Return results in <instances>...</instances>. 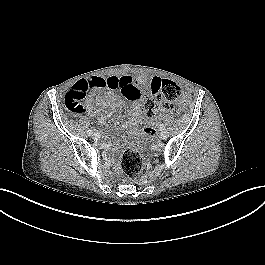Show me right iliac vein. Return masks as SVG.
Returning a JSON list of instances; mask_svg holds the SVG:
<instances>
[{
  "label": "right iliac vein",
  "instance_id": "63e3f726",
  "mask_svg": "<svg viewBox=\"0 0 265 265\" xmlns=\"http://www.w3.org/2000/svg\"><path fill=\"white\" fill-rule=\"evenodd\" d=\"M99 138H100V134L99 133H95L93 135V139L98 140Z\"/></svg>",
  "mask_w": 265,
  "mask_h": 265
}]
</instances>
